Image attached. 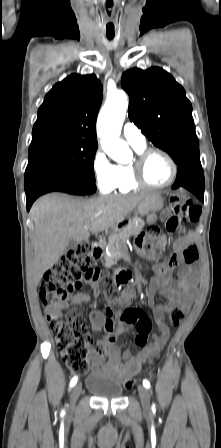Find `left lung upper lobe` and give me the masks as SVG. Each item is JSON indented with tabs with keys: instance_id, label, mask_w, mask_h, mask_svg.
I'll use <instances>...</instances> for the list:
<instances>
[{
	"instance_id": "5c2ea615",
	"label": "left lung upper lobe",
	"mask_w": 221,
	"mask_h": 448,
	"mask_svg": "<svg viewBox=\"0 0 221 448\" xmlns=\"http://www.w3.org/2000/svg\"><path fill=\"white\" fill-rule=\"evenodd\" d=\"M121 84L130 97V121L179 169L201 164L192 105L182 86L159 67L130 69L123 73Z\"/></svg>"
}]
</instances>
